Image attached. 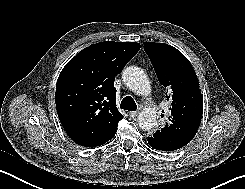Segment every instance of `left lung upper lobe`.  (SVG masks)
Segmentation results:
<instances>
[{"mask_svg": "<svg viewBox=\"0 0 245 189\" xmlns=\"http://www.w3.org/2000/svg\"><path fill=\"white\" fill-rule=\"evenodd\" d=\"M161 85L171 89L168 122L152 137L170 151L188 144L195 136L203 113V97L190 61L176 48L165 43L144 42Z\"/></svg>", "mask_w": 245, "mask_h": 189, "instance_id": "1", "label": "left lung upper lobe"}]
</instances>
